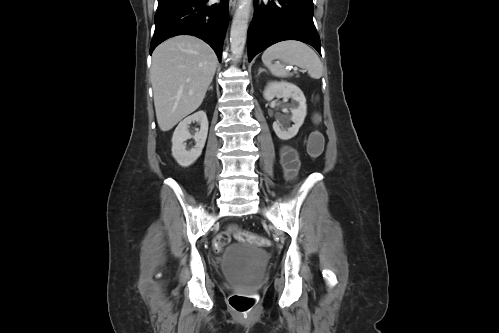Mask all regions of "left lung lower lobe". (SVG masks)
I'll return each mask as SVG.
<instances>
[{
    "label": "left lung lower lobe",
    "mask_w": 499,
    "mask_h": 333,
    "mask_svg": "<svg viewBox=\"0 0 499 333\" xmlns=\"http://www.w3.org/2000/svg\"><path fill=\"white\" fill-rule=\"evenodd\" d=\"M256 3L254 0L255 7ZM284 40L307 43L321 55L320 37L313 22L312 0H271L260 5L248 29V60Z\"/></svg>",
    "instance_id": "left-lung-lower-lobe-1"
}]
</instances>
